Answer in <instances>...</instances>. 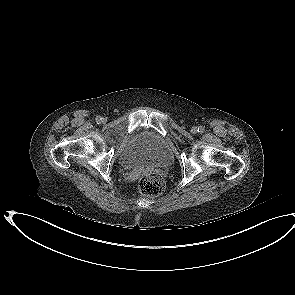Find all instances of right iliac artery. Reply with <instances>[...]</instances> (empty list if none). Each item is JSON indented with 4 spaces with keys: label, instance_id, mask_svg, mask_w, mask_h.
Listing matches in <instances>:
<instances>
[{
    "label": "right iliac artery",
    "instance_id": "obj_1",
    "mask_svg": "<svg viewBox=\"0 0 295 295\" xmlns=\"http://www.w3.org/2000/svg\"><path fill=\"white\" fill-rule=\"evenodd\" d=\"M102 121V118L100 117V116H97V118H96V122L97 123H100Z\"/></svg>",
    "mask_w": 295,
    "mask_h": 295
}]
</instances>
